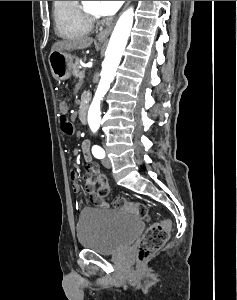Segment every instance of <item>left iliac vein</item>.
Here are the masks:
<instances>
[{"instance_id":"left-iliac-vein-1","label":"left iliac vein","mask_w":237,"mask_h":300,"mask_svg":"<svg viewBox=\"0 0 237 300\" xmlns=\"http://www.w3.org/2000/svg\"><path fill=\"white\" fill-rule=\"evenodd\" d=\"M102 164L105 168H111V161L108 157L103 158Z\"/></svg>"}]
</instances>
